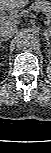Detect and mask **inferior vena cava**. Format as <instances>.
<instances>
[{
	"label": "inferior vena cava",
	"instance_id": "1",
	"mask_svg": "<svg viewBox=\"0 0 51 153\" xmlns=\"http://www.w3.org/2000/svg\"><path fill=\"white\" fill-rule=\"evenodd\" d=\"M17 32V26L14 23H2L0 26V37L11 38Z\"/></svg>",
	"mask_w": 51,
	"mask_h": 153
}]
</instances>
